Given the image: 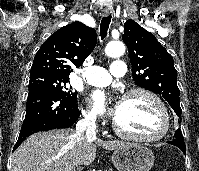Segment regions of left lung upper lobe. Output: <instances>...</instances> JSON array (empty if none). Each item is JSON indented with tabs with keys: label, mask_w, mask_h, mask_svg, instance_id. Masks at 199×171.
Returning <instances> with one entry per match:
<instances>
[{
	"label": "left lung upper lobe",
	"mask_w": 199,
	"mask_h": 171,
	"mask_svg": "<svg viewBox=\"0 0 199 171\" xmlns=\"http://www.w3.org/2000/svg\"><path fill=\"white\" fill-rule=\"evenodd\" d=\"M122 39L129 51L135 83L161 95L180 117V91L172 56L152 33L133 20L124 24Z\"/></svg>",
	"instance_id": "obj_1"
}]
</instances>
